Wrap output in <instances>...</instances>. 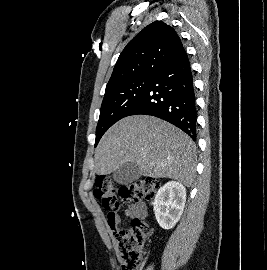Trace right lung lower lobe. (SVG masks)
Here are the masks:
<instances>
[{"label":"right lung lower lobe","mask_w":267,"mask_h":270,"mask_svg":"<svg viewBox=\"0 0 267 270\" xmlns=\"http://www.w3.org/2000/svg\"><path fill=\"white\" fill-rule=\"evenodd\" d=\"M190 63L182 47L153 76L144 96L126 115L166 120L196 140L197 110Z\"/></svg>","instance_id":"right-lung-lower-lobe-1"}]
</instances>
